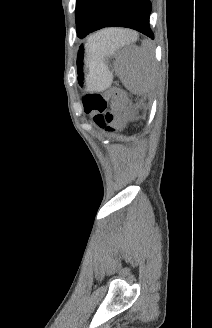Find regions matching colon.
I'll return each instance as SVG.
<instances>
[{
    "instance_id": "1",
    "label": "colon",
    "mask_w": 212,
    "mask_h": 328,
    "mask_svg": "<svg viewBox=\"0 0 212 328\" xmlns=\"http://www.w3.org/2000/svg\"><path fill=\"white\" fill-rule=\"evenodd\" d=\"M124 92L111 88L105 92H91L84 96V111L100 129L113 133L117 129L115 114L126 105Z\"/></svg>"
}]
</instances>
